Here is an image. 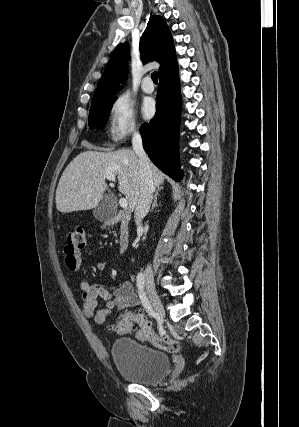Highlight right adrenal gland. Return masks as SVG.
Masks as SVG:
<instances>
[{
	"mask_svg": "<svg viewBox=\"0 0 299 427\" xmlns=\"http://www.w3.org/2000/svg\"><path fill=\"white\" fill-rule=\"evenodd\" d=\"M159 191H160V188H158L157 191L155 192L154 200H153V203H152L150 211H153L155 207H158L157 196L159 194Z\"/></svg>",
	"mask_w": 299,
	"mask_h": 427,
	"instance_id": "right-adrenal-gland-1",
	"label": "right adrenal gland"
}]
</instances>
